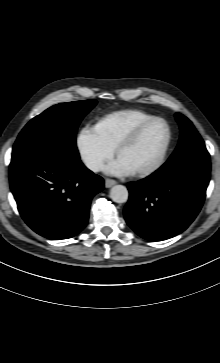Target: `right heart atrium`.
Segmentation results:
<instances>
[{
    "mask_svg": "<svg viewBox=\"0 0 220 363\" xmlns=\"http://www.w3.org/2000/svg\"><path fill=\"white\" fill-rule=\"evenodd\" d=\"M76 145L81 161L92 172L99 171L114 154L113 148L92 126H85L79 131Z\"/></svg>",
    "mask_w": 220,
    "mask_h": 363,
    "instance_id": "right-heart-atrium-1",
    "label": "right heart atrium"
}]
</instances>
